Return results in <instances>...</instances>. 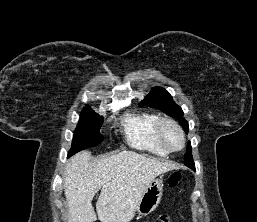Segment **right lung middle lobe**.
Returning a JSON list of instances; mask_svg holds the SVG:
<instances>
[{"label": "right lung middle lobe", "mask_w": 257, "mask_h": 222, "mask_svg": "<svg viewBox=\"0 0 257 222\" xmlns=\"http://www.w3.org/2000/svg\"><path fill=\"white\" fill-rule=\"evenodd\" d=\"M103 118L95 113L89 106L80 114L78 126L73 135L72 147L68 156L85 148L97 146L103 141L100 128Z\"/></svg>", "instance_id": "obj_1"}]
</instances>
